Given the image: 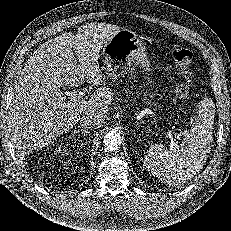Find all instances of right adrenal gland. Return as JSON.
I'll list each match as a JSON object with an SVG mask.
<instances>
[{
	"label": "right adrenal gland",
	"mask_w": 231,
	"mask_h": 231,
	"mask_svg": "<svg viewBox=\"0 0 231 231\" xmlns=\"http://www.w3.org/2000/svg\"><path fill=\"white\" fill-rule=\"evenodd\" d=\"M74 133L77 134V133H81L83 136H88V134L90 133L89 131L87 130H74Z\"/></svg>",
	"instance_id": "obj_1"
}]
</instances>
